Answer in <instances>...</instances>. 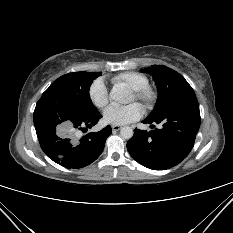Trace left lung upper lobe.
I'll list each match as a JSON object with an SVG mask.
<instances>
[{
  "label": "left lung upper lobe",
  "instance_id": "1",
  "mask_svg": "<svg viewBox=\"0 0 233 233\" xmlns=\"http://www.w3.org/2000/svg\"><path fill=\"white\" fill-rule=\"evenodd\" d=\"M141 72L152 73L158 89V99L148 119L154 120L164 115L177 99L191 88L183 76L163 65H153L141 69Z\"/></svg>",
  "mask_w": 233,
  "mask_h": 233
}]
</instances>
